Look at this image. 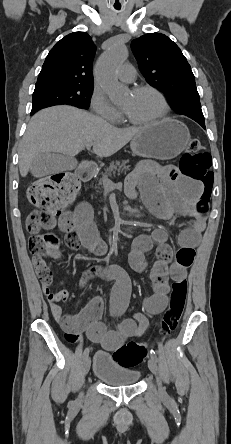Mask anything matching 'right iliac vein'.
I'll list each match as a JSON object with an SVG mask.
<instances>
[{"instance_id":"obj_1","label":"right iliac vein","mask_w":231,"mask_h":444,"mask_svg":"<svg viewBox=\"0 0 231 444\" xmlns=\"http://www.w3.org/2000/svg\"><path fill=\"white\" fill-rule=\"evenodd\" d=\"M90 365H91V360H90V357L87 356L84 358L83 366H82V373L84 376H86L88 374V372L90 370ZM79 400H81V396H80Z\"/></svg>"}]
</instances>
